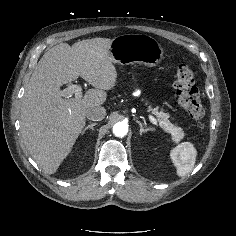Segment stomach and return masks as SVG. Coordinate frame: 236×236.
Returning <instances> with one entry per match:
<instances>
[{"instance_id":"obj_1","label":"stomach","mask_w":236,"mask_h":236,"mask_svg":"<svg viewBox=\"0 0 236 236\" xmlns=\"http://www.w3.org/2000/svg\"><path fill=\"white\" fill-rule=\"evenodd\" d=\"M164 50L160 43L146 34H123L112 40L110 57L120 65L144 64L157 66L163 59Z\"/></svg>"}]
</instances>
